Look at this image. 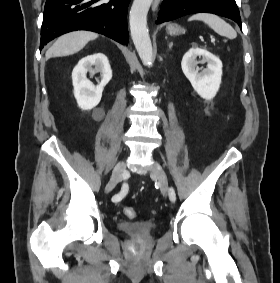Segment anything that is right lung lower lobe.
<instances>
[{
    "label": "right lung lower lobe",
    "mask_w": 280,
    "mask_h": 283,
    "mask_svg": "<svg viewBox=\"0 0 280 283\" xmlns=\"http://www.w3.org/2000/svg\"><path fill=\"white\" fill-rule=\"evenodd\" d=\"M129 3L130 0H47L40 50L55 37L75 30L98 32L128 45Z\"/></svg>",
    "instance_id": "98d812e1"
}]
</instances>
